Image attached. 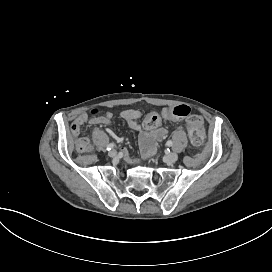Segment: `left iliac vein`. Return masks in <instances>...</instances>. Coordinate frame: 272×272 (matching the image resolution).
Wrapping results in <instances>:
<instances>
[{
  "mask_svg": "<svg viewBox=\"0 0 272 272\" xmlns=\"http://www.w3.org/2000/svg\"><path fill=\"white\" fill-rule=\"evenodd\" d=\"M177 159H178V154L176 152H172V153L166 154V156H165V161L168 164L176 162Z\"/></svg>",
  "mask_w": 272,
  "mask_h": 272,
  "instance_id": "left-iliac-vein-1",
  "label": "left iliac vein"
}]
</instances>
